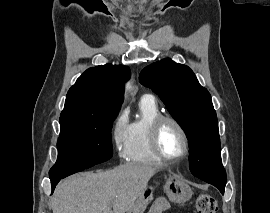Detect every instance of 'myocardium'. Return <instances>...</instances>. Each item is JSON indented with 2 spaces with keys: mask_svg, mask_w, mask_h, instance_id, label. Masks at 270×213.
Masks as SVG:
<instances>
[{
  "mask_svg": "<svg viewBox=\"0 0 270 213\" xmlns=\"http://www.w3.org/2000/svg\"><path fill=\"white\" fill-rule=\"evenodd\" d=\"M166 123H172L179 130V132L181 133L183 137L184 151L182 155H180L179 157H176V158L168 157L162 152L160 148V144H159L160 132ZM149 145H150L151 151L160 160L168 162V163H176V162L182 161L185 158H187L190 153V140H189V136L186 129L176 118L169 115H159L153 120L149 129Z\"/></svg>",
  "mask_w": 270,
  "mask_h": 213,
  "instance_id": "myocardium-1",
  "label": "myocardium"
}]
</instances>
